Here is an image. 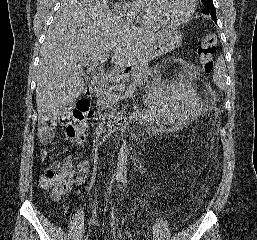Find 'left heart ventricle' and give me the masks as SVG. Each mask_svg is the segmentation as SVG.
Segmentation results:
<instances>
[{"label": "left heart ventricle", "mask_w": 257, "mask_h": 240, "mask_svg": "<svg viewBox=\"0 0 257 240\" xmlns=\"http://www.w3.org/2000/svg\"><path fill=\"white\" fill-rule=\"evenodd\" d=\"M156 7L162 16L175 20L186 14L189 0H156Z\"/></svg>", "instance_id": "obj_1"}]
</instances>
